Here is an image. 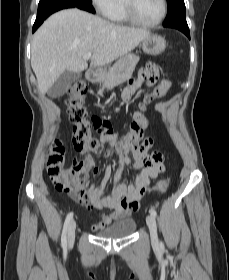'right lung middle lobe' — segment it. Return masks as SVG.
Listing matches in <instances>:
<instances>
[{"instance_id": "1", "label": "right lung middle lobe", "mask_w": 229, "mask_h": 280, "mask_svg": "<svg viewBox=\"0 0 229 280\" xmlns=\"http://www.w3.org/2000/svg\"><path fill=\"white\" fill-rule=\"evenodd\" d=\"M84 1H87V2H90V3H91V0H84Z\"/></svg>"}]
</instances>
